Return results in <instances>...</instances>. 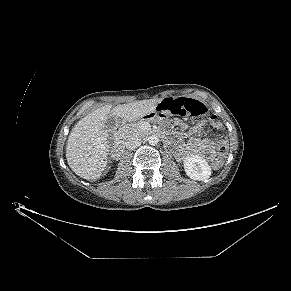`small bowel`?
<instances>
[{
  "label": "small bowel",
  "mask_w": 291,
  "mask_h": 291,
  "mask_svg": "<svg viewBox=\"0 0 291 291\" xmlns=\"http://www.w3.org/2000/svg\"><path fill=\"white\" fill-rule=\"evenodd\" d=\"M176 124L180 127H184V124L176 121ZM213 126L215 128H220L219 123H213ZM203 127L202 122H198L193 127L194 132H200ZM175 138L180 139V135L176 134ZM177 154L179 157L183 158L189 154H198L204 157L206 160L213 161L217 154L216 150L214 148V144L210 139L204 138V139H197L189 144H182L179 146V149L177 151Z\"/></svg>",
  "instance_id": "c3829d8e"
}]
</instances>
